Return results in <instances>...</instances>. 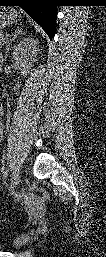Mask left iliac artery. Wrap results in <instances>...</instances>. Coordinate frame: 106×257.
<instances>
[{"label":"left iliac artery","mask_w":106,"mask_h":257,"mask_svg":"<svg viewBox=\"0 0 106 257\" xmlns=\"http://www.w3.org/2000/svg\"><path fill=\"white\" fill-rule=\"evenodd\" d=\"M8 172H9V170H8V169H6V170L4 171L3 176H4V178H5V179H6V178H7V176H8Z\"/></svg>","instance_id":"left-iliac-artery-1"}]
</instances>
